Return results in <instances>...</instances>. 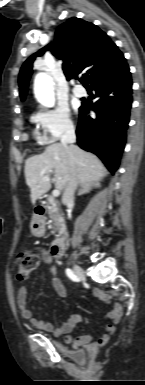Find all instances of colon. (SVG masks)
Masks as SVG:
<instances>
[{"label":"colon","mask_w":145,"mask_h":385,"mask_svg":"<svg viewBox=\"0 0 145 385\" xmlns=\"http://www.w3.org/2000/svg\"><path fill=\"white\" fill-rule=\"evenodd\" d=\"M38 256L35 252L22 250L16 258V271L19 279L28 278L38 265Z\"/></svg>","instance_id":"5ec220e1"}]
</instances>
